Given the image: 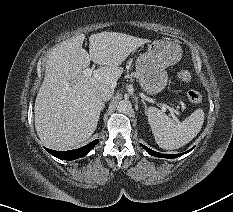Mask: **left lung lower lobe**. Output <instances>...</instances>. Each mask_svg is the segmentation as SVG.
<instances>
[{
	"instance_id": "0a47b994",
	"label": "left lung lower lobe",
	"mask_w": 233,
	"mask_h": 212,
	"mask_svg": "<svg viewBox=\"0 0 233 212\" xmlns=\"http://www.w3.org/2000/svg\"><path fill=\"white\" fill-rule=\"evenodd\" d=\"M141 146L152 156H155V157H162V158H169V159H172V158H177L189 151H191L192 149H190L189 151L185 152V153H181V154H161V153H158V152H155L151 149H149L148 147L144 146L141 144Z\"/></svg>"
}]
</instances>
